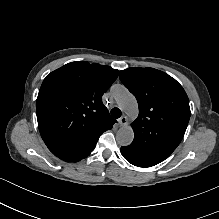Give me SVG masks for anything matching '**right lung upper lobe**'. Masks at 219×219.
<instances>
[{"label": "right lung upper lobe", "instance_id": "obj_1", "mask_svg": "<svg viewBox=\"0 0 219 219\" xmlns=\"http://www.w3.org/2000/svg\"><path fill=\"white\" fill-rule=\"evenodd\" d=\"M110 66L85 61L68 63L51 72L37 97V120L42 139L57 157L94 150L100 135L110 130L111 118L102 95L118 77Z\"/></svg>", "mask_w": 219, "mask_h": 219}]
</instances>
